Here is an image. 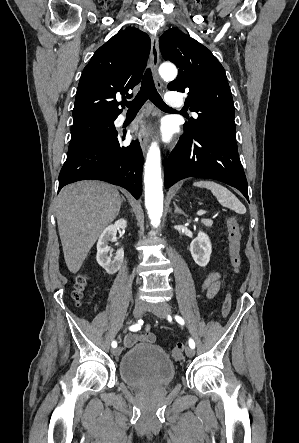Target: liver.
Returning <instances> with one entry per match:
<instances>
[{"instance_id": "liver-1", "label": "liver", "mask_w": 299, "mask_h": 443, "mask_svg": "<svg viewBox=\"0 0 299 443\" xmlns=\"http://www.w3.org/2000/svg\"><path fill=\"white\" fill-rule=\"evenodd\" d=\"M122 198L116 187L80 181L64 187L56 200V217L64 259L77 273L102 231L117 217Z\"/></svg>"}]
</instances>
